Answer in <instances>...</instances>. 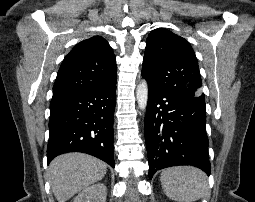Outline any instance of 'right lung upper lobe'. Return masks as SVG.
I'll use <instances>...</instances> for the list:
<instances>
[{"label": "right lung upper lobe", "mask_w": 255, "mask_h": 202, "mask_svg": "<svg viewBox=\"0 0 255 202\" xmlns=\"http://www.w3.org/2000/svg\"><path fill=\"white\" fill-rule=\"evenodd\" d=\"M116 58L108 42L94 36L78 43L64 58L53 97L96 89L116 81Z\"/></svg>", "instance_id": "1"}]
</instances>
